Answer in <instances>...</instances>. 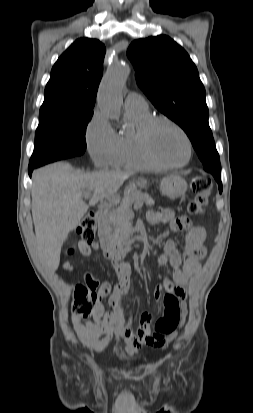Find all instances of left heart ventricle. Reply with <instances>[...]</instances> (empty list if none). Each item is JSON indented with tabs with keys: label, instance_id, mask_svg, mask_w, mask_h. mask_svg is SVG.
Masks as SVG:
<instances>
[{
	"label": "left heart ventricle",
	"instance_id": "b2bd125f",
	"mask_svg": "<svg viewBox=\"0 0 253 413\" xmlns=\"http://www.w3.org/2000/svg\"><path fill=\"white\" fill-rule=\"evenodd\" d=\"M150 145L155 156L168 164L183 162L187 147L182 135L166 123L157 124L150 134Z\"/></svg>",
	"mask_w": 253,
	"mask_h": 413
}]
</instances>
